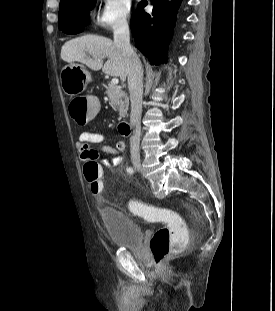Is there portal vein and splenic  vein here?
<instances>
[{
    "mask_svg": "<svg viewBox=\"0 0 275 311\" xmlns=\"http://www.w3.org/2000/svg\"><path fill=\"white\" fill-rule=\"evenodd\" d=\"M111 83H112L113 85H117V84L119 83V79L116 78V77H114V78L111 80Z\"/></svg>",
    "mask_w": 275,
    "mask_h": 311,
    "instance_id": "obj_1",
    "label": "portal vein and splenic vein"
}]
</instances>
